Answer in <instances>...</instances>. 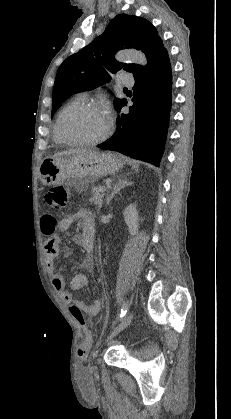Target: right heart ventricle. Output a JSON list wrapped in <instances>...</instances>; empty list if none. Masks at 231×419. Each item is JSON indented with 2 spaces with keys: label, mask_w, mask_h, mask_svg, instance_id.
<instances>
[{
  "label": "right heart ventricle",
  "mask_w": 231,
  "mask_h": 419,
  "mask_svg": "<svg viewBox=\"0 0 231 419\" xmlns=\"http://www.w3.org/2000/svg\"><path fill=\"white\" fill-rule=\"evenodd\" d=\"M85 102V97L83 95H78L76 97H74L71 101H69L64 107L61 108V110L59 111V113L57 114L55 123H54V127H53V137L54 140L57 143L60 144H71L69 143L67 140H65L62 135L60 134V130H59V121L62 117V115L71 107L80 104V103H84Z\"/></svg>",
  "instance_id": "right-heart-ventricle-1"
}]
</instances>
